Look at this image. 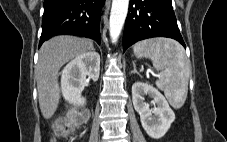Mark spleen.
<instances>
[{
  "mask_svg": "<svg viewBox=\"0 0 227 142\" xmlns=\"http://www.w3.org/2000/svg\"><path fill=\"white\" fill-rule=\"evenodd\" d=\"M133 51L137 58L152 60L153 67L161 71L156 86L164 91L174 108L182 107L187 98L190 72L184 48L171 39L153 38L136 43Z\"/></svg>",
  "mask_w": 227,
  "mask_h": 142,
  "instance_id": "spleen-1",
  "label": "spleen"
}]
</instances>
